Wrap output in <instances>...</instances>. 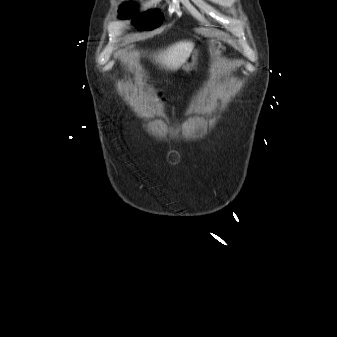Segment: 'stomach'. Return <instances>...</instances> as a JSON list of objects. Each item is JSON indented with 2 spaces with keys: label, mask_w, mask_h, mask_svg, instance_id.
Returning <instances> with one entry per match:
<instances>
[{
  "label": "stomach",
  "mask_w": 337,
  "mask_h": 337,
  "mask_svg": "<svg viewBox=\"0 0 337 337\" xmlns=\"http://www.w3.org/2000/svg\"><path fill=\"white\" fill-rule=\"evenodd\" d=\"M213 48L216 50L217 54L221 53L224 50L223 46L219 42H214ZM198 56H199L198 50L193 51L189 55V57L187 58V60L185 61V63L182 66V69H183L184 72H189L197 66Z\"/></svg>",
  "instance_id": "1"
}]
</instances>
